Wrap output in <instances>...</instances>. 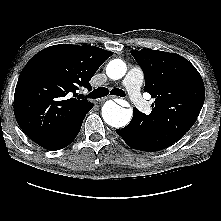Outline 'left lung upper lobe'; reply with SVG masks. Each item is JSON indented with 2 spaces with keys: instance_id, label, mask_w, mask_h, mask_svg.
Segmentation results:
<instances>
[{
  "instance_id": "5c2ea615",
  "label": "left lung upper lobe",
  "mask_w": 221,
  "mask_h": 221,
  "mask_svg": "<svg viewBox=\"0 0 221 221\" xmlns=\"http://www.w3.org/2000/svg\"><path fill=\"white\" fill-rule=\"evenodd\" d=\"M144 72V90L155 98L150 115L140 112L134 124L156 151L180 140L202 109L205 88L201 75L184 57L152 49L131 50Z\"/></svg>"
}]
</instances>
